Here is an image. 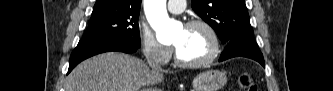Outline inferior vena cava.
I'll return each instance as SVG.
<instances>
[{
  "instance_id": "602c4592",
  "label": "inferior vena cava",
  "mask_w": 333,
  "mask_h": 91,
  "mask_svg": "<svg viewBox=\"0 0 333 91\" xmlns=\"http://www.w3.org/2000/svg\"><path fill=\"white\" fill-rule=\"evenodd\" d=\"M149 66L152 68L153 71L155 72H161L162 68L161 66L158 64L157 61L155 60H148Z\"/></svg>"
}]
</instances>
